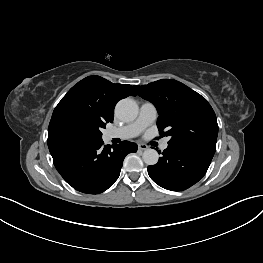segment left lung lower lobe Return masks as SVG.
I'll use <instances>...</instances> for the list:
<instances>
[{"instance_id": "obj_1", "label": "left lung lower lobe", "mask_w": 263, "mask_h": 263, "mask_svg": "<svg viewBox=\"0 0 263 263\" xmlns=\"http://www.w3.org/2000/svg\"><path fill=\"white\" fill-rule=\"evenodd\" d=\"M162 155L157 164L148 166L149 176L165 189L182 191L205 175L214 154L168 145Z\"/></svg>"}]
</instances>
